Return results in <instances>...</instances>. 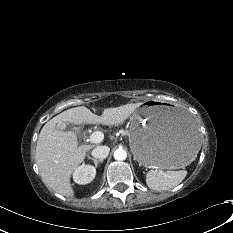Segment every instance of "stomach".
I'll list each match as a JSON object with an SVG mask.
<instances>
[{
  "mask_svg": "<svg viewBox=\"0 0 233 233\" xmlns=\"http://www.w3.org/2000/svg\"><path fill=\"white\" fill-rule=\"evenodd\" d=\"M129 144L143 166L176 169L189 164L201 143L191 115L173 103L146 102L130 118Z\"/></svg>",
  "mask_w": 233,
  "mask_h": 233,
  "instance_id": "0dacf381",
  "label": "stomach"
}]
</instances>
